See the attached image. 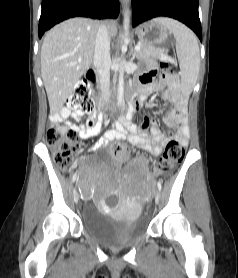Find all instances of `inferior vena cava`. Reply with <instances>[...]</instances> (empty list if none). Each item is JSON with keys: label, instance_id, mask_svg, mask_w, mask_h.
Segmentation results:
<instances>
[{"label": "inferior vena cava", "instance_id": "obj_1", "mask_svg": "<svg viewBox=\"0 0 238 278\" xmlns=\"http://www.w3.org/2000/svg\"><path fill=\"white\" fill-rule=\"evenodd\" d=\"M93 64L99 78L100 98L103 104L110 99V35L105 24L98 27Z\"/></svg>", "mask_w": 238, "mask_h": 278}]
</instances>
